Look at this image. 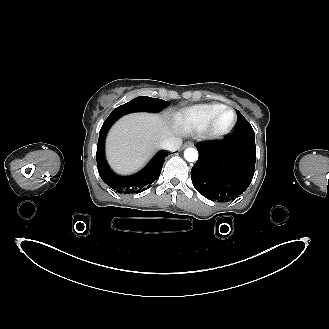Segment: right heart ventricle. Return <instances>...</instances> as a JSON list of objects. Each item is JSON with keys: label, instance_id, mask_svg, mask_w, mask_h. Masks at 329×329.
I'll list each match as a JSON object with an SVG mask.
<instances>
[{"label": "right heart ventricle", "instance_id": "right-heart-ventricle-1", "mask_svg": "<svg viewBox=\"0 0 329 329\" xmlns=\"http://www.w3.org/2000/svg\"><path fill=\"white\" fill-rule=\"evenodd\" d=\"M225 105L222 103L199 104L174 113V121L184 132L201 131L211 117Z\"/></svg>", "mask_w": 329, "mask_h": 329}]
</instances>
